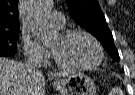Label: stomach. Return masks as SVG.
I'll return each mask as SVG.
<instances>
[{
    "label": "stomach",
    "instance_id": "0dacf381",
    "mask_svg": "<svg viewBox=\"0 0 135 95\" xmlns=\"http://www.w3.org/2000/svg\"><path fill=\"white\" fill-rule=\"evenodd\" d=\"M60 95H95L96 85L86 74L77 72L55 82Z\"/></svg>",
    "mask_w": 135,
    "mask_h": 95
}]
</instances>
